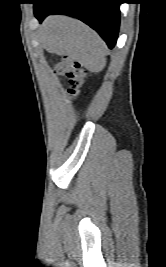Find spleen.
I'll return each instance as SVG.
<instances>
[{
	"label": "spleen",
	"mask_w": 166,
	"mask_h": 267,
	"mask_svg": "<svg viewBox=\"0 0 166 267\" xmlns=\"http://www.w3.org/2000/svg\"><path fill=\"white\" fill-rule=\"evenodd\" d=\"M42 43L50 51L67 55L91 72L106 65V45L88 26L67 16H52L43 25Z\"/></svg>",
	"instance_id": "obj_1"
}]
</instances>
